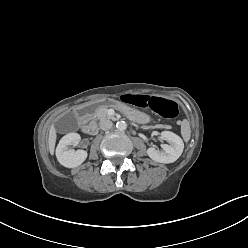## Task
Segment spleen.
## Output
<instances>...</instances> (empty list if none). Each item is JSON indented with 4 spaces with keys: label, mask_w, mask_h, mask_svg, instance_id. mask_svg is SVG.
I'll use <instances>...</instances> for the list:
<instances>
[{
    "label": "spleen",
    "mask_w": 248,
    "mask_h": 248,
    "mask_svg": "<svg viewBox=\"0 0 248 248\" xmlns=\"http://www.w3.org/2000/svg\"><path fill=\"white\" fill-rule=\"evenodd\" d=\"M181 135L185 142H188L190 140L191 128L189 121L186 119H184L181 123Z\"/></svg>",
    "instance_id": "spleen-1"
}]
</instances>
